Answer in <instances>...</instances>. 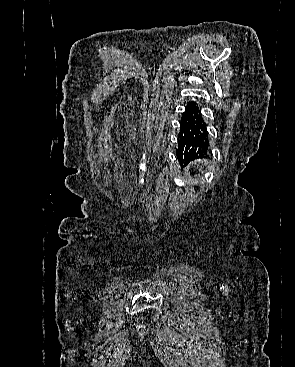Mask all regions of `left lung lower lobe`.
Here are the masks:
<instances>
[{
	"mask_svg": "<svg viewBox=\"0 0 295 367\" xmlns=\"http://www.w3.org/2000/svg\"><path fill=\"white\" fill-rule=\"evenodd\" d=\"M176 156L182 165L206 155L209 137L201 109L196 102H190L181 119V131L178 137Z\"/></svg>",
	"mask_w": 295,
	"mask_h": 367,
	"instance_id": "1",
	"label": "left lung lower lobe"
}]
</instances>
